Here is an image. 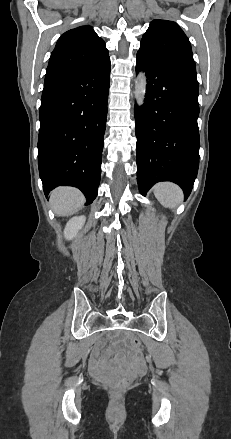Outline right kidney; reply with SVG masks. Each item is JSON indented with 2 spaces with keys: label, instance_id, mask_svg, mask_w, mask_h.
Returning <instances> with one entry per match:
<instances>
[{
  "label": "right kidney",
  "instance_id": "ca27d5eb",
  "mask_svg": "<svg viewBox=\"0 0 231 439\" xmlns=\"http://www.w3.org/2000/svg\"><path fill=\"white\" fill-rule=\"evenodd\" d=\"M85 216H76L71 218L67 224L66 227L64 229V236L66 239L70 240L72 238H74L78 231L83 227L84 223H85Z\"/></svg>",
  "mask_w": 231,
  "mask_h": 439
}]
</instances>
